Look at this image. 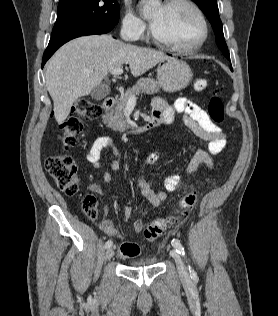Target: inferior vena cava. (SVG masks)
<instances>
[{
  "label": "inferior vena cava",
  "mask_w": 278,
  "mask_h": 316,
  "mask_svg": "<svg viewBox=\"0 0 278 316\" xmlns=\"http://www.w3.org/2000/svg\"><path fill=\"white\" fill-rule=\"evenodd\" d=\"M121 37H122L123 39H126V30H125V28H123V29L121 30Z\"/></svg>",
  "instance_id": "obj_1"
}]
</instances>
